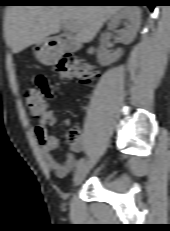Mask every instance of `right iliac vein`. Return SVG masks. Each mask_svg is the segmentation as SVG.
<instances>
[{
    "label": "right iliac vein",
    "instance_id": "obj_1",
    "mask_svg": "<svg viewBox=\"0 0 170 231\" xmlns=\"http://www.w3.org/2000/svg\"><path fill=\"white\" fill-rule=\"evenodd\" d=\"M92 166L93 163L90 162L78 168L73 178L74 185H79L85 179Z\"/></svg>",
    "mask_w": 170,
    "mask_h": 231
}]
</instances>
